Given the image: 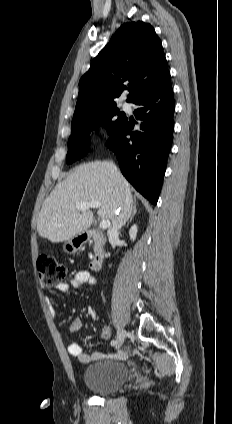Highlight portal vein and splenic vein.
I'll return each instance as SVG.
<instances>
[{
    "instance_id": "1",
    "label": "portal vein and splenic vein",
    "mask_w": 232,
    "mask_h": 424,
    "mask_svg": "<svg viewBox=\"0 0 232 424\" xmlns=\"http://www.w3.org/2000/svg\"><path fill=\"white\" fill-rule=\"evenodd\" d=\"M101 206L100 201H90V202H82L79 205H77V209L79 211H85L89 208H99ZM110 227V221L108 219H102L100 222V228L107 229Z\"/></svg>"
}]
</instances>
